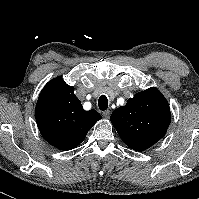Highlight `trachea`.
Instances as JSON below:
<instances>
[{
  "mask_svg": "<svg viewBox=\"0 0 199 199\" xmlns=\"http://www.w3.org/2000/svg\"><path fill=\"white\" fill-rule=\"evenodd\" d=\"M98 106H99V109L102 110V111L107 110V108H108V99H107V97L105 95H102V96L99 97Z\"/></svg>",
  "mask_w": 199,
  "mask_h": 199,
  "instance_id": "1",
  "label": "trachea"
}]
</instances>
